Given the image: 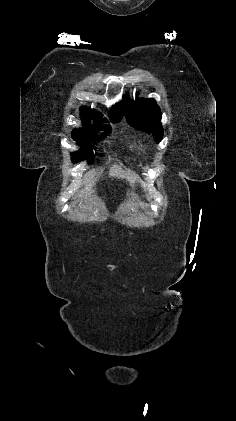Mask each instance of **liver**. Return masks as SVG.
<instances>
[{
    "label": "liver",
    "mask_w": 236,
    "mask_h": 421,
    "mask_svg": "<svg viewBox=\"0 0 236 421\" xmlns=\"http://www.w3.org/2000/svg\"><path fill=\"white\" fill-rule=\"evenodd\" d=\"M109 176H117V178H127L129 182H134V174H132L130 170H127V172H125V170H123L121 166H118V164H113V166H111L109 170ZM93 178V172H87L86 178L84 180V188H82L81 190L82 196H87V194H90L93 186Z\"/></svg>",
    "instance_id": "6515ba94"
}]
</instances>
